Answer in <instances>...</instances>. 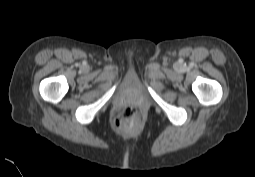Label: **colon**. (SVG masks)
Instances as JSON below:
<instances>
[{"mask_svg": "<svg viewBox=\"0 0 255 177\" xmlns=\"http://www.w3.org/2000/svg\"><path fill=\"white\" fill-rule=\"evenodd\" d=\"M139 119L138 111L135 108H126L121 115L116 118V125L122 126L123 124H134Z\"/></svg>", "mask_w": 255, "mask_h": 177, "instance_id": "5ec220e1", "label": "colon"}]
</instances>
